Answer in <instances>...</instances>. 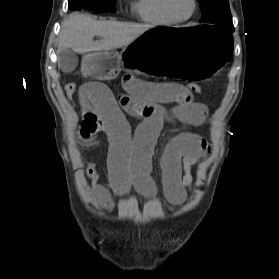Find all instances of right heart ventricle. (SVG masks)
<instances>
[{
  "label": "right heart ventricle",
  "mask_w": 279,
  "mask_h": 279,
  "mask_svg": "<svg viewBox=\"0 0 279 279\" xmlns=\"http://www.w3.org/2000/svg\"><path fill=\"white\" fill-rule=\"evenodd\" d=\"M132 6L138 18L145 23L157 26L176 23L163 11L162 0H134Z\"/></svg>",
  "instance_id": "1"
}]
</instances>
